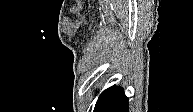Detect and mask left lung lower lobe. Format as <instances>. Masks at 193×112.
<instances>
[{
    "label": "left lung lower lobe",
    "instance_id": "1",
    "mask_svg": "<svg viewBox=\"0 0 193 112\" xmlns=\"http://www.w3.org/2000/svg\"><path fill=\"white\" fill-rule=\"evenodd\" d=\"M94 112H129L128 98L119 86L106 89L98 98Z\"/></svg>",
    "mask_w": 193,
    "mask_h": 112
}]
</instances>
